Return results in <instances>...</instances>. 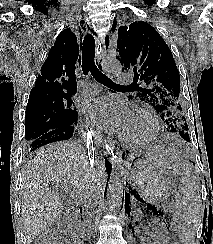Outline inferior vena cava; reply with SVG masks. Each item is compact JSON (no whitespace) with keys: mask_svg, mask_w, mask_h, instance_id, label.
I'll use <instances>...</instances> for the list:
<instances>
[{"mask_svg":"<svg viewBox=\"0 0 213 244\" xmlns=\"http://www.w3.org/2000/svg\"><path fill=\"white\" fill-rule=\"evenodd\" d=\"M88 155H89V168L90 169H94V150H92L91 148L89 149L88 147ZM93 180L95 179L94 177L92 178ZM97 203V195L95 193H91L89 195L86 196V199L82 205L84 211H85V215L88 219V221H90L91 217L95 214V206Z\"/></svg>","mask_w":213,"mask_h":244,"instance_id":"602c4592","label":"inferior vena cava"}]
</instances>
